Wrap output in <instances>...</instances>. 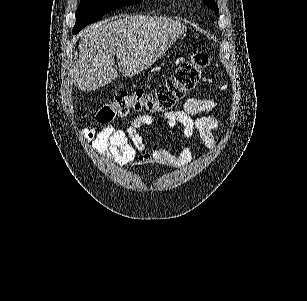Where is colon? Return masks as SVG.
<instances>
[{"label":"colon","instance_id":"colon-1","mask_svg":"<svg viewBox=\"0 0 307 301\" xmlns=\"http://www.w3.org/2000/svg\"><path fill=\"white\" fill-rule=\"evenodd\" d=\"M208 64L205 52H195L182 62L174 74L157 87L154 93L136 90L132 93L118 91L111 102L104 103L97 111V122L107 124L117 118H124L133 112H164L192 90L200 81L203 69Z\"/></svg>","mask_w":307,"mask_h":301}]
</instances>
